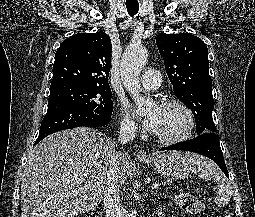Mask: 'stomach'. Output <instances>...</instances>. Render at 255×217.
<instances>
[{
	"mask_svg": "<svg viewBox=\"0 0 255 217\" xmlns=\"http://www.w3.org/2000/svg\"><path fill=\"white\" fill-rule=\"evenodd\" d=\"M142 161L150 164L163 176L174 180L187 177L192 170L189 158L178 151L161 153L149 159H142Z\"/></svg>",
	"mask_w": 255,
	"mask_h": 217,
	"instance_id": "obj_1",
	"label": "stomach"
}]
</instances>
